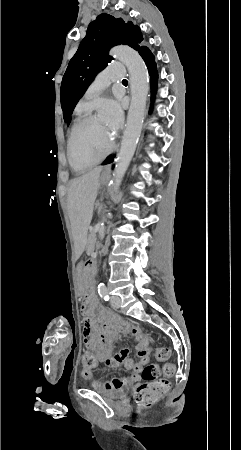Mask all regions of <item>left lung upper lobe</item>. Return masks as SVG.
<instances>
[{
    "label": "left lung upper lobe",
    "mask_w": 241,
    "mask_h": 450,
    "mask_svg": "<svg viewBox=\"0 0 241 450\" xmlns=\"http://www.w3.org/2000/svg\"><path fill=\"white\" fill-rule=\"evenodd\" d=\"M140 28L131 21L103 13L88 26L86 36L70 60L63 76L60 97L65 122H70L72 112L95 76L110 62L108 51L115 45H128L140 53L143 43Z\"/></svg>",
    "instance_id": "obj_1"
}]
</instances>
